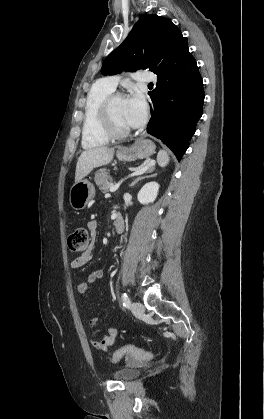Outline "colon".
<instances>
[{"label": "colon", "mask_w": 264, "mask_h": 419, "mask_svg": "<svg viewBox=\"0 0 264 419\" xmlns=\"http://www.w3.org/2000/svg\"><path fill=\"white\" fill-rule=\"evenodd\" d=\"M89 244V232L85 227H77L68 237L69 249L73 252L84 253L87 251ZM124 357H129L138 361H146L153 358V354L149 351L137 348L132 345H126L116 350L111 360L117 362Z\"/></svg>", "instance_id": "obj_1"}]
</instances>
